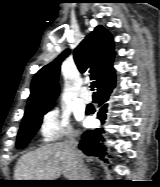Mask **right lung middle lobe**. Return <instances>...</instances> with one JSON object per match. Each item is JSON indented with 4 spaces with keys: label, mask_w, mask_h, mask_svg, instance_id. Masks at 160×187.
<instances>
[{
    "label": "right lung middle lobe",
    "mask_w": 160,
    "mask_h": 187,
    "mask_svg": "<svg viewBox=\"0 0 160 187\" xmlns=\"http://www.w3.org/2000/svg\"><path fill=\"white\" fill-rule=\"evenodd\" d=\"M48 111L49 108L25 114L17 137V148H24L29 143L32 136L39 129L43 115Z\"/></svg>",
    "instance_id": "dd1d6c3e"
}]
</instances>
